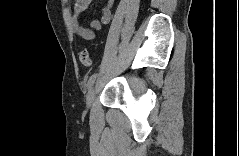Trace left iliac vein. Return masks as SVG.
Returning <instances> with one entry per match:
<instances>
[{"instance_id": "1", "label": "left iliac vein", "mask_w": 239, "mask_h": 156, "mask_svg": "<svg viewBox=\"0 0 239 156\" xmlns=\"http://www.w3.org/2000/svg\"><path fill=\"white\" fill-rule=\"evenodd\" d=\"M94 96H95V87H92L88 94H87V98H86V103H87V106L90 107L92 102H93V99H94Z\"/></svg>"}]
</instances>
